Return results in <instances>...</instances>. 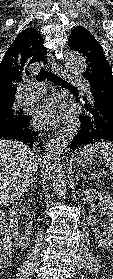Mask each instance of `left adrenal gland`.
<instances>
[{
	"mask_svg": "<svg viewBox=\"0 0 113 279\" xmlns=\"http://www.w3.org/2000/svg\"><path fill=\"white\" fill-rule=\"evenodd\" d=\"M79 178H84V179H86V177H85L83 174H81L80 172H78L77 180H79Z\"/></svg>",
	"mask_w": 113,
	"mask_h": 279,
	"instance_id": "1",
	"label": "left adrenal gland"
}]
</instances>
